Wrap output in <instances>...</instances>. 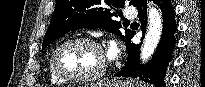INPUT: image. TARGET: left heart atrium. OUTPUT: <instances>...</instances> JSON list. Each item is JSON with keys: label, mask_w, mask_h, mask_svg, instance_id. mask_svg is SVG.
<instances>
[{"label": "left heart atrium", "mask_w": 205, "mask_h": 87, "mask_svg": "<svg viewBox=\"0 0 205 87\" xmlns=\"http://www.w3.org/2000/svg\"><path fill=\"white\" fill-rule=\"evenodd\" d=\"M110 54H111V56H115V54H116V49H115L114 47L111 48Z\"/></svg>", "instance_id": "39dd6f15"}]
</instances>
